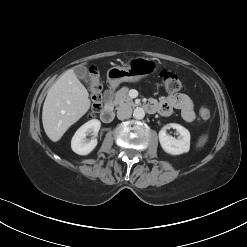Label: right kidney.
Wrapping results in <instances>:
<instances>
[{
  "label": "right kidney",
  "mask_w": 247,
  "mask_h": 247,
  "mask_svg": "<svg viewBox=\"0 0 247 247\" xmlns=\"http://www.w3.org/2000/svg\"><path fill=\"white\" fill-rule=\"evenodd\" d=\"M101 127V122L97 119L90 120L83 124L74 134L71 140L72 150L79 155H87L97 146V135ZM93 135L91 140L88 135Z\"/></svg>",
  "instance_id": "1"
}]
</instances>
